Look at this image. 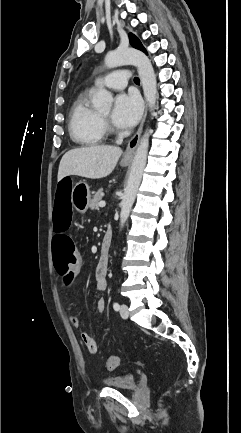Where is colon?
Here are the masks:
<instances>
[{"label":"colon","instance_id":"1","mask_svg":"<svg viewBox=\"0 0 241 433\" xmlns=\"http://www.w3.org/2000/svg\"><path fill=\"white\" fill-rule=\"evenodd\" d=\"M72 181L69 177H60L54 187V207L52 210V225L56 234H52L51 247L54 264L59 275L70 281L78 266V256L74 245L73 234H65V230L71 225L73 213L71 207ZM119 365L116 355H110L105 361L107 370H114Z\"/></svg>","mask_w":241,"mask_h":433}]
</instances>
